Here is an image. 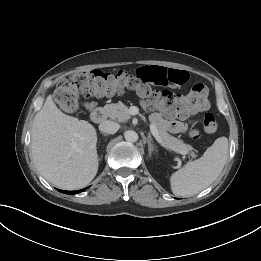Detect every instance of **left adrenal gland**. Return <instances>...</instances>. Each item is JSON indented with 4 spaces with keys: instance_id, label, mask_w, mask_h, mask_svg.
<instances>
[{
    "instance_id": "1",
    "label": "left adrenal gland",
    "mask_w": 261,
    "mask_h": 261,
    "mask_svg": "<svg viewBox=\"0 0 261 261\" xmlns=\"http://www.w3.org/2000/svg\"><path fill=\"white\" fill-rule=\"evenodd\" d=\"M146 142L148 144V155L151 157L152 153L154 151H157V149L155 148V146L151 143V141L149 139H146Z\"/></svg>"
}]
</instances>
